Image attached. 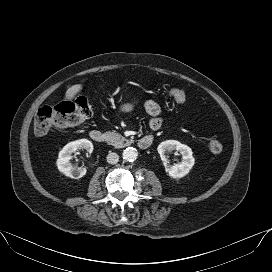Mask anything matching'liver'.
I'll list each match as a JSON object with an SVG mask.
<instances>
[{"label":"liver","instance_id":"6515ba94","mask_svg":"<svg viewBox=\"0 0 272 272\" xmlns=\"http://www.w3.org/2000/svg\"><path fill=\"white\" fill-rule=\"evenodd\" d=\"M82 89V85L81 84H76L71 86L65 94V99H69L71 100L72 98L75 97V95H77Z\"/></svg>","mask_w":272,"mask_h":272}]
</instances>
